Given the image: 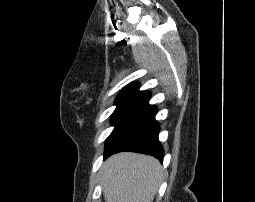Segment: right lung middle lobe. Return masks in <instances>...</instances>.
<instances>
[{
  "label": "right lung middle lobe",
  "mask_w": 255,
  "mask_h": 202,
  "mask_svg": "<svg viewBox=\"0 0 255 202\" xmlns=\"http://www.w3.org/2000/svg\"><path fill=\"white\" fill-rule=\"evenodd\" d=\"M132 113H116L112 114V124L115 126L112 133L106 140V149L108 148L114 137L120 132V130L135 116Z\"/></svg>",
  "instance_id": "dd1d6c3e"
}]
</instances>
